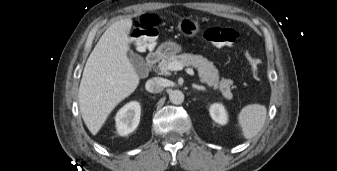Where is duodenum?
<instances>
[{"instance_id": "obj_1", "label": "duodenum", "mask_w": 337, "mask_h": 171, "mask_svg": "<svg viewBox=\"0 0 337 171\" xmlns=\"http://www.w3.org/2000/svg\"><path fill=\"white\" fill-rule=\"evenodd\" d=\"M162 57V52L156 50L150 52L146 57V69L151 71Z\"/></svg>"}]
</instances>
